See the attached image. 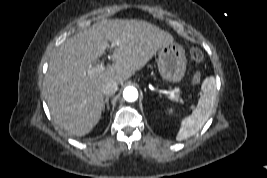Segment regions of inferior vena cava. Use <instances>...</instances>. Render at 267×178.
I'll list each match as a JSON object with an SVG mask.
<instances>
[{"mask_svg": "<svg viewBox=\"0 0 267 178\" xmlns=\"http://www.w3.org/2000/svg\"><path fill=\"white\" fill-rule=\"evenodd\" d=\"M118 90V84L115 81H108L103 85L102 92L106 96L115 94Z\"/></svg>", "mask_w": 267, "mask_h": 178, "instance_id": "obj_1", "label": "inferior vena cava"}]
</instances>
